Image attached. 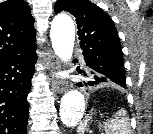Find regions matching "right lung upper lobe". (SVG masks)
Returning <instances> with one entry per match:
<instances>
[{"label":"right lung upper lobe","mask_w":153,"mask_h":134,"mask_svg":"<svg viewBox=\"0 0 153 134\" xmlns=\"http://www.w3.org/2000/svg\"><path fill=\"white\" fill-rule=\"evenodd\" d=\"M34 18L24 0L0 3V61L36 46Z\"/></svg>","instance_id":"right-lung-upper-lobe-1"}]
</instances>
